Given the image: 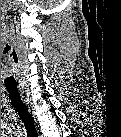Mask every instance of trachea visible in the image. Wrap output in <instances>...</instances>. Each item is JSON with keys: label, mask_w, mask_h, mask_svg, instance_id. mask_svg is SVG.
I'll use <instances>...</instances> for the list:
<instances>
[{"label": "trachea", "mask_w": 121, "mask_h": 137, "mask_svg": "<svg viewBox=\"0 0 121 137\" xmlns=\"http://www.w3.org/2000/svg\"><path fill=\"white\" fill-rule=\"evenodd\" d=\"M5 87L9 93V97L12 104L15 106L18 114L20 115L24 125L28 131H33L35 129L34 120L28 111L26 105L23 103L17 87V75L13 68V65L9 62L5 67Z\"/></svg>", "instance_id": "obj_1"}]
</instances>
